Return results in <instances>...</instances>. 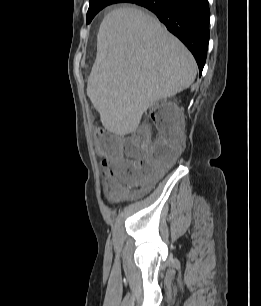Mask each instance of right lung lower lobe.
I'll return each instance as SVG.
<instances>
[{"instance_id":"1","label":"right lung lower lobe","mask_w":261,"mask_h":306,"mask_svg":"<svg viewBox=\"0 0 261 306\" xmlns=\"http://www.w3.org/2000/svg\"><path fill=\"white\" fill-rule=\"evenodd\" d=\"M159 18L196 59L200 73L204 67L209 41L208 0H129Z\"/></svg>"}]
</instances>
